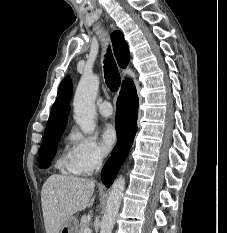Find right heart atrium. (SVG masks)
Masks as SVG:
<instances>
[{"label": "right heart atrium", "instance_id": "obj_1", "mask_svg": "<svg viewBox=\"0 0 227 233\" xmlns=\"http://www.w3.org/2000/svg\"><path fill=\"white\" fill-rule=\"evenodd\" d=\"M69 141L71 147L67 159L73 173L89 175L102 165L105 153L95 137L72 130Z\"/></svg>", "mask_w": 227, "mask_h": 233}]
</instances>
